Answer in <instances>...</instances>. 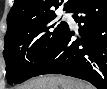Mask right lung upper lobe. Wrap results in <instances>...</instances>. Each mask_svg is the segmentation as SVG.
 Masks as SVG:
<instances>
[{
    "label": "right lung upper lobe",
    "mask_w": 107,
    "mask_h": 89,
    "mask_svg": "<svg viewBox=\"0 0 107 89\" xmlns=\"http://www.w3.org/2000/svg\"><path fill=\"white\" fill-rule=\"evenodd\" d=\"M76 1L68 0L64 10L69 11ZM62 2L63 0H15L7 16V25L9 27L28 20L55 15L53 9H57Z\"/></svg>",
    "instance_id": "1"
}]
</instances>
